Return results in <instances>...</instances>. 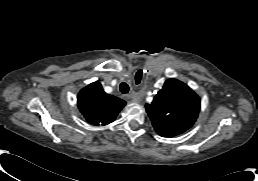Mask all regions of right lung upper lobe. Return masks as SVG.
I'll return each mask as SVG.
<instances>
[{
	"label": "right lung upper lobe",
	"instance_id": "1",
	"mask_svg": "<svg viewBox=\"0 0 258 181\" xmlns=\"http://www.w3.org/2000/svg\"><path fill=\"white\" fill-rule=\"evenodd\" d=\"M126 102L104 92L99 82L83 88L78 94L77 105L83 116L93 125L113 122Z\"/></svg>",
	"mask_w": 258,
	"mask_h": 181
}]
</instances>
